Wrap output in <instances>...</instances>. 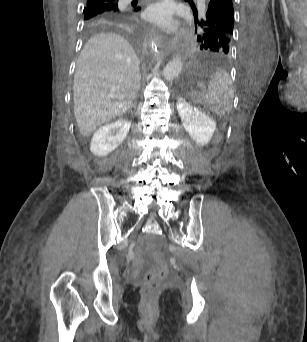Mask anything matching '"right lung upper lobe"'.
I'll list each match as a JSON object with an SVG mask.
<instances>
[{"instance_id":"1","label":"right lung upper lobe","mask_w":307,"mask_h":342,"mask_svg":"<svg viewBox=\"0 0 307 342\" xmlns=\"http://www.w3.org/2000/svg\"><path fill=\"white\" fill-rule=\"evenodd\" d=\"M137 4V1H133ZM136 4L121 0H86L85 10L97 13L83 20L85 32L113 31L135 34L139 29V11Z\"/></svg>"}]
</instances>
